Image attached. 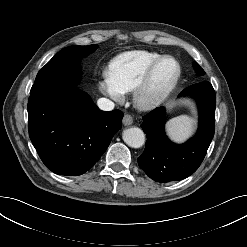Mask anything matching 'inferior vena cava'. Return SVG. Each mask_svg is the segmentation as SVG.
<instances>
[{"label": "inferior vena cava", "instance_id": "inferior-vena-cava-1", "mask_svg": "<svg viewBox=\"0 0 247 247\" xmlns=\"http://www.w3.org/2000/svg\"><path fill=\"white\" fill-rule=\"evenodd\" d=\"M97 105L101 110H104V111H111L114 109V106H115V104L107 98L98 99Z\"/></svg>", "mask_w": 247, "mask_h": 247}]
</instances>
